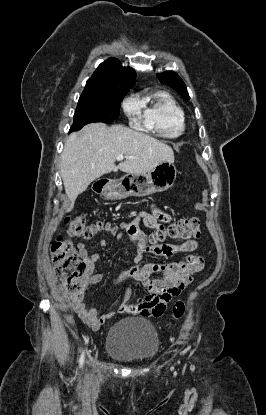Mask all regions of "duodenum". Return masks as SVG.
I'll list each match as a JSON object with an SVG mask.
<instances>
[{
    "instance_id": "duodenum-1",
    "label": "duodenum",
    "mask_w": 266,
    "mask_h": 415,
    "mask_svg": "<svg viewBox=\"0 0 266 415\" xmlns=\"http://www.w3.org/2000/svg\"><path fill=\"white\" fill-rule=\"evenodd\" d=\"M106 187H107V182H105V181L100 182L97 185V191L98 192H102V191H104L106 189Z\"/></svg>"
}]
</instances>
